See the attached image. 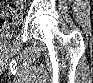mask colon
Wrapping results in <instances>:
<instances>
[{"label": "colon", "instance_id": "colon-1", "mask_svg": "<svg viewBox=\"0 0 93 83\" xmlns=\"http://www.w3.org/2000/svg\"><path fill=\"white\" fill-rule=\"evenodd\" d=\"M9 2L18 3L17 1H9ZM20 2L23 3V1H20ZM15 11H16L15 9H13L12 7H9V6L2 7L1 12H0L1 22L3 24H7L11 20Z\"/></svg>", "mask_w": 93, "mask_h": 83}]
</instances>
